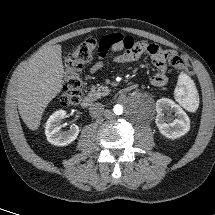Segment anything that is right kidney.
<instances>
[{"label":"right kidney","mask_w":215,"mask_h":215,"mask_svg":"<svg viewBox=\"0 0 215 215\" xmlns=\"http://www.w3.org/2000/svg\"><path fill=\"white\" fill-rule=\"evenodd\" d=\"M67 116V112L60 109L54 112L46 122L45 134L49 143L57 146H66L72 143L79 134L77 125L70 126L68 130H62L61 119Z\"/></svg>","instance_id":"right-kidney-1"}]
</instances>
